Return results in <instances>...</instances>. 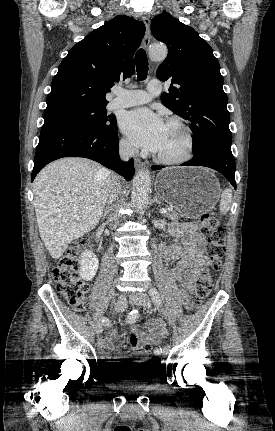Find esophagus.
<instances>
[{
    "instance_id": "esophagus-1",
    "label": "esophagus",
    "mask_w": 275,
    "mask_h": 431,
    "mask_svg": "<svg viewBox=\"0 0 275 431\" xmlns=\"http://www.w3.org/2000/svg\"><path fill=\"white\" fill-rule=\"evenodd\" d=\"M141 20H142L144 27H145V34H144V38H143V47L146 50H148V48L150 46V41H151L150 20L146 15H143ZM134 165H135L136 169L144 167V163L139 158L134 159Z\"/></svg>"
}]
</instances>
